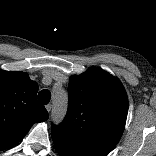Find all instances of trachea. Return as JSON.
<instances>
[{
  "instance_id": "trachea-1",
  "label": "trachea",
  "mask_w": 156,
  "mask_h": 156,
  "mask_svg": "<svg viewBox=\"0 0 156 156\" xmlns=\"http://www.w3.org/2000/svg\"><path fill=\"white\" fill-rule=\"evenodd\" d=\"M51 99V93L49 90L44 89L42 91L39 92L38 94V100L42 103V104H48L49 101Z\"/></svg>"
}]
</instances>
